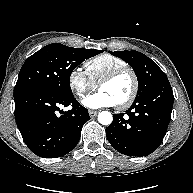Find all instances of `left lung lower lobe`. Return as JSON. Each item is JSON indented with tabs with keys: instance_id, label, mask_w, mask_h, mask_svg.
<instances>
[{
	"instance_id": "obj_1",
	"label": "left lung lower lobe",
	"mask_w": 193,
	"mask_h": 193,
	"mask_svg": "<svg viewBox=\"0 0 193 193\" xmlns=\"http://www.w3.org/2000/svg\"><path fill=\"white\" fill-rule=\"evenodd\" d=\"M173 102L171 85L165 79L135 98L126 113L114 114L113 122L106 128L109 143L127 156L151 154L166 134Z\"/></svg>"
}]
</instances>
